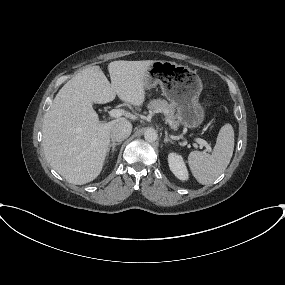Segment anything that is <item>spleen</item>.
Segmentation results:
<instances>
[{
  "instance_id": "spleen-1",
  "label": "spleen",
  "mask_w": 285,
  "mask_h": 285,
  "mask_svg": "<svg viewBox=\"0 0 285 285\" xmlns=\"http://www.w3.org/2000/svg\"><path fill=\"white\" fill-rule=\"evenodd\" d=\"M234 130L227 123L221 127L212 154L204 151H192L188 164L196 180L208 185L214 182L227 168L234 151Z\"/></svg>"
}]
</instances>
